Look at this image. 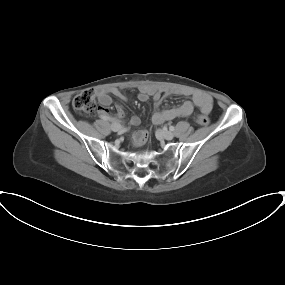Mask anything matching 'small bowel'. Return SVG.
Returning <instances> with one entry per match:
<instances>
[{
	"mask_svg": "<svg viewBox=\"0 0 285 285\" xmlns=\"http://www.w3.org/2000/svg\"><path fill=\"white\" fill-rule=\"evenodd\" d=\"M97 97L102 107L99 108L98 113L108 119H113V117L108 113L106 106L112 103L111 95L117 97L121 102L127 100L125 94L116 87L112 88H98L96 90ZM188 94L187 92L181 91L179 89H169L164 87H156L153 85H141L138 88V100L141 102H146L149 98H152L156 107V110L152 116V120L155 124H161L165 121L173 120L179 117H188L194 111V105L197 106L203 114H208L213 108L212 98L201 92H195L192 94L191 101H184L182 104L167 108L159 109L162 98L168 97L170 95H182ZM117 116L119 118L124 116V108L122 103L116 105ZM141 122V118L138 116H133L130 120V125L136 126ZM148 138V132L145 130H139L131 135V140L135 146L143 145Z\"/></svg>",
	"mask_w": 285,
	"mask_h": 285,
	"instance_id": "small-bowel-1",
	"label": "small bowel"
}]
</instances>
